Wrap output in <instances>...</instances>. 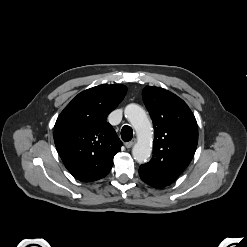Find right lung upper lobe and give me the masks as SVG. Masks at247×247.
<instances>
[{"instance_id": "obj_1", "label": "right lung upper lobe", "mask_w": 247, "mask_h": 247, "mask_svg": "<svg viewBox=\"0 0 247 247\" xmlns=\"http://www.w3.org/2000/svg\"><path fill=\"white\" fill-rule=\"evenodd\" d=\"M124 85H99L79 93L58 116L54 127L57 151L69 172L82 182L105 177L122 142L106 122L123 100Z\"/></svg>"}]
</instances>
